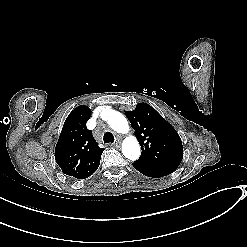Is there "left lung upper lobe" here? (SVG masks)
I'll list each match as a JSON object with an SVG mask.
<instances>
[{
  "mask_svg": "<svg viewBox=\"0 0 247 247\" xmlns=\"http://www.w3.org/2000/svg\"><path fill=\"white\" fill-rule=\"evenodd\" d=\"M125 114L141 145L142 155L137 161L175 171L183 158V145L176 130L146 103Z\"/></svg>",
  "mask_w": 247,
  "mask_h": 247,
  "instance_id": "obj_1",
  "label": "left lung upper lobe"
}]
</instances>
